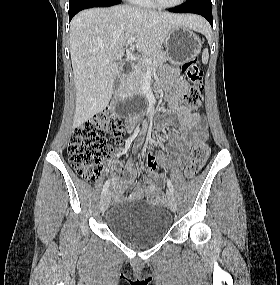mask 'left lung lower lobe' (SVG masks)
Returning <instances> with one entry per match:
<instances>
[{
    "label": "left lung lower lobe",
    "instance_id": "0a47b994",
    "mask_svg": "<svg viewBox=\"0 0 280 285\" xmlns=\"http://www.w3.org/2000/svg\"><path fill=\"white\" fill-rule=\"evenodd\" d=\"M175 13H195L205 17L211 25L212 20V2L211 0H186V2L178 7L169 9Z\"/></svg>",
    "mask_w": 280,
    "mask_h": 285
}]
</instances>
